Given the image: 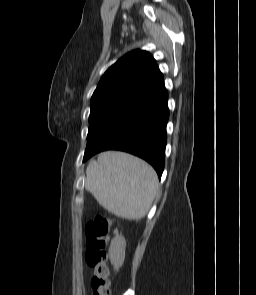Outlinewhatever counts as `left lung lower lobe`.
<instances>
[{"label":"left lung lower lobe","instance_id":"0a47b994","mask_svg":"<svg viewBox=\"0 0 256 295\" xmlns=\"http://www.w3.org/2000/svg\"><path fill=\"white\" fill-rule=\"evenodd\" d=\"M167 101L168 95L164 89L87 147L83 161L106 150L125 151L149 162L160 178L164 170L166 124L169 117Z\"/></svg>","mask_w":256,"mask_h":295}]
</instances>
